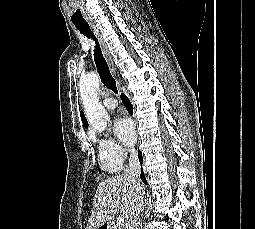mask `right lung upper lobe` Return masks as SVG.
<instances>
[{
	"label": "right lung upper lobe",
	"instance_id": "1",
	"mask_svg": "<svg viewBox=\"0 0 255 229\" xmlns=\"http://www.w3.org/2000/svg\"><path fill=\"white\" fill-rule=\"evenodd\" d=\"M81 120H82L83 125L87 128L88 122H87V119L85 118L83 112H81Z\"/></svg>",
	"mask_w": 255,
	"mask_h": 229
}]
</instances>
